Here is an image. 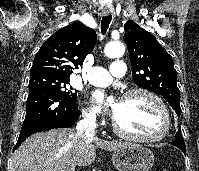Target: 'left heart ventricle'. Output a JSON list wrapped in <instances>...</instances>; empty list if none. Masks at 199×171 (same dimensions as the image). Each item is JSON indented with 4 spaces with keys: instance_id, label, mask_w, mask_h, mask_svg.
Wrapping results in <instances>:
<instances>
[{
    "instance_id": "b2bd125f",
    "label": "left heart ventricle",
    "mask_w": 199,
    "mask_h": 171,
    "mask_svg": "<svg viewBox=\"0 0 199 171\" xmlns=\"http://www.w3.org/2000/svg\"><path fill=\"white\" fill-rule=\"evenodd\" d=\"M115 107V120L130 133L156 136L163 128V118L157 105L144 94L122 99Z\"/></svg>"
}]
</instances>
